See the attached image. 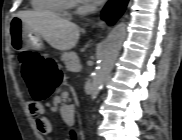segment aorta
I'll list each match as a JSON object with an SVG mask.
<instances>
[{"instance_id":"1","label":"aorta","mask_w":182,"mask_h":140,"mask_svg":"<svg viewBox=\"0 0 182 140\" xmlns=\"http://www.w3.org/2000/svg\"><path fill=\"white\" fill-rule=\"evenodd\" d=\"M126 37V24H117L109 33L99 55V64L93 75L91 84V98L96 99L107 76L111 72L119 55L122 43Z\"/></svg>"}]
</instances>
